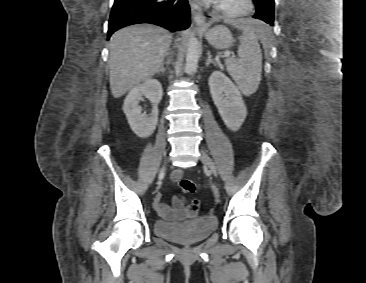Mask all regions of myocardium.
Returning a JSON list of instances; mask_svg holds the SVG:
<instances>
[{
	"mask_svg": "<svg viewBox=\"0 0 366 283\" xmlns=\"http://www.w3.org/2000/svg\"><path fill=\"white\" fill-rule=\"evenodd\" d=\"M254 9V0H241V6L231 8L221 2L215 4V10L225 18H240L250 14Z\"/></svg>",
	"mask_w": 366,
	"mask_h": 283,
	"instance_id": "myocardium-1",
	"label": "myocardium"
}]
</instances>
